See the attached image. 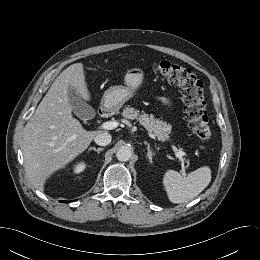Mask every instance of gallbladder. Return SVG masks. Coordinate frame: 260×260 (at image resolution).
Listing matches in <instances>:
<instances>
[{
  "instance_id": "bac80fb5",
  "label": "gallbladder",
  "mask_w": 260,
  "mask_h": 260,
  "mask_svg": "<svg viewBox=\"0 0 260 260\" xmlns=\"http://www.w3.org/2000/svg\"><path fill=\"white\" fill-rule=\"evenodd\" d=\"M68 98L72 105V111L78 118L85 120L95 116V110L89 104L85 103L77 90L71 86L68 88Z\"/></svg>"
}]
</instances>
